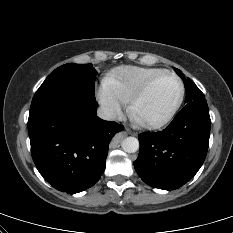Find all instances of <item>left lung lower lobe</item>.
<instances>
[{"instance_id":"1","label":"left lung lower lobe","mask_w":233,"mask_h":233,"mask_svg":"<svg viewBox=\"0 0 233 233\" xmlns=\"http://www.w3.org/2000/svg\"><path fill=\"white\" fill-rule=\"evenodd\" d=\"M211 120L206 99L187 103L162 131L139 134L140 152L134 161L148 185L174 190L202 166L209 144Z\"/></svg>"}]
</instances>
